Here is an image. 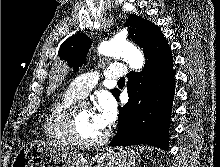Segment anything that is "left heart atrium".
<instances>
[{"mask_svg":"<svg viewBox=\"0 0 220 167\" xmlns=\"http://www.w3.org/2000/svg\"><path fill=\"white\" fill-rule=\"evenodd\" d=\"M92 111L96 122L103 129H106L116 116L115 103L110 97H102Z\"/></svg>","mask_w":220,"mask_h":167,"instance_id":"1","label":"left heart atrium"}]
</instances>
